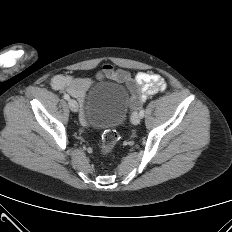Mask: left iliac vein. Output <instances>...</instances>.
<instances>
[{"mask_svg": "<svg viewBox=\"0 0 232 232\" xmlns=\"http://www.w3.org/2000/svg\"><path fill=\"white\" fill-rule=\"evenodd\" d=\"M140 120H141L140 114H138L136 112L133 113V115L131 116V122H132V124L137 125V124L140 123Z\"/></svg>", "mask_w": 232, "mask_h": 232, "instance_id": "1", "label": "left iliac vein"}]
</instances>
